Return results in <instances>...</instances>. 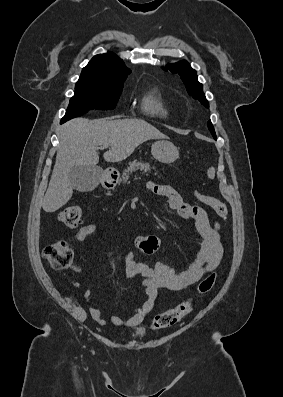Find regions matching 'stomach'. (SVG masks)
I'll use <instances>...</instances> for the list:
<instances>
[{"label":"stomach","instance_id":"obj_1","mask_svg":"<svg viewBox=\"0 0 283 397\" xmlns=\"http://www.w3.org/2000/svg\"><path fill=\"white\" fill-rule=\"evenodd\" d=\"M151 153L157 161L166 164L174 162L179 157L178 148L168 140H159L153 143ZM109 176V171L101 174L103 181H107Z\"/></svg>","mask_w":283,"mask_h":397}]
</instances>
